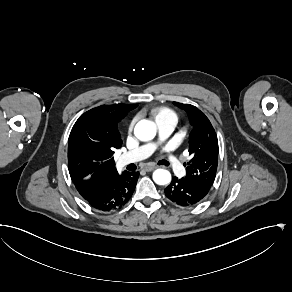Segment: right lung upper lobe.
Masks as SVG:
<instances>
[{
  "mask_svg": "<svg viewBox=\"0 0 292 292\" xmlns=\"http://www.w3.org/2000/svg\"><path fill=\"white\" fill-rule=\"evenodd\" d=\"M137 104L101 105L82 114L68 141V168L75 184L117 174L114 150L122 146L117 123Z\"/></svg>",
  "mask_w": 292,
  "mask_h": 292,
  "instance_id": "cb5924a9",
  "label": "right lung upper lobe"
}]
</instances>
